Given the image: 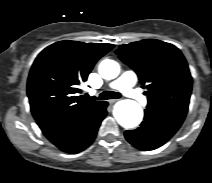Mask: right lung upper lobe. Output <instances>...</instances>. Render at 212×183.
<instances>
[{
    "label": "right lung upper lobe",
    "instance_id": "obj_1",
    "mask_svg": "<svg viewBox=\"0 0 212 183\" xmlns=\"http://www.w3.org/2000/svg\"><path fill=\"white\" fill-rule=\"evenodd\" d=\"M112 44L59 41L35 59L28 78L31 112L43 131L90 114L104 101L79 95L96 61Z\"/></svg>",
    "mask_w": 212,
    "mask_h": 183
}]
</instances>
